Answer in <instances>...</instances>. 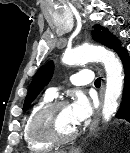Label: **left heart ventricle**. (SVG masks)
<instances>
[{
  "instance_id": "1",
  "label": "left heart ventricle",
  "mask_w": 130,
  "mask_h": 153,
  "mask_svg": "<svg viewBox=\"0 0 130 153\" xmlns=\"http://www.w3.org/2000/svg\"><path fill=\"white\" fill-rule=\"evenodd\" d=\"M54 125L61 134H68L76 128L73 123L69 106L60 108L54 116Z\"/></svg>"
}]
</instances>
